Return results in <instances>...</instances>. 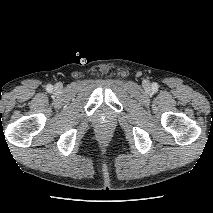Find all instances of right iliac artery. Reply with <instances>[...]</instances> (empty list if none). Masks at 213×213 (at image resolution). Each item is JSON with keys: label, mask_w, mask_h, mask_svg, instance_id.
I'll use <instances>...</instances> for the list:
<instances>
[{"label": "right iliac artery", "mask_w": 213, "mask_h": 213, "mask_svg": "<svg viewBox=\"0 0 213 213\" xmlns=\"http://www.w3.org/2000/svg\"><path fill=\"white\" fill-rule=\"evenodd\" d=\"M46 90L48 92H51L53 90V86L52 85H47Z\"/></svg>", "instance_id": "82829eb1"}]
</instances>
